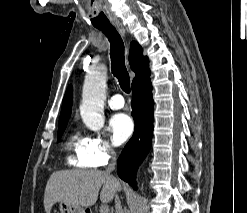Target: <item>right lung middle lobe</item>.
<instances>
[{"mask_svg": "<svg viewBox=\"0 0 247 213\" xmlns=\"http://www.w3.org/2000/svg\"><path fill=\"white\" fill-rule=\"evenodd\" d=\"M66 125H67V123L58 126V139L62 136V134L66 128Z\"/></svg>", "mask_w": 247, "mask_h": 213, "instance_id": "1", "label": "right lung middle lobe"}]
</instances>
